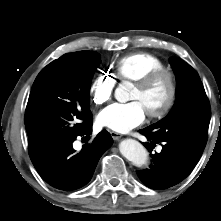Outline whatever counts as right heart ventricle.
<instances>
[{
	"label": "right heart ventricle",
	"mask_w": 221,
	"mask_h": 221,
	"mask_svg": "<svg viewBox=\"0 0 221 221\" xmlns=\"http://www.w3.org/2000/svg\"><path fill=\"white\" fill-rule=\"evenodd\" d=\"M164 66L163 60L158 56L146 52H136L116 61L115 74L122 80L135 82L148 72Z\"/></svg>",
	"instance_id": "right-heart-ventricle-1"
}]
</instances>
